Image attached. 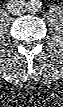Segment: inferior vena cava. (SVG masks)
I'll return each mask as SVG.
<instances>
[{
  "mask_svg": "<svg viewBox=\"0 0 63 107\" xmlns=\"http://www.w3.org/2000/svg\"><path fill=\"white\" fill-rule=\"evenodd\" d=\"M7 9L13 15H19L26 12L25 3L22 1H11L7 4Z\"/></svg>",
  "mask_w": 63,
  "mask_h": 107,
  "instance_id": "inferior-vena-cava-1",
  "label": "inferior vena cava"
}]
</instances>
